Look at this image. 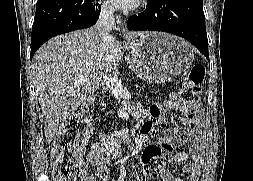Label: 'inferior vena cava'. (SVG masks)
Segmentation results:
<instances>
[{
    "mask_svg": "<svg viewBox=\"0 0 253 181\" xmlns=\"http://www.w3.org/2000/svg\"><path fill=\"white\" fill-rule=\"evenodd\" d=\"M114 6L111 3H103L101 6L100 16L95 25L104 42H109V32L114 28L115 16Z\"/></svg>",
    "mask_w": 253,
    "mask_h": 181,
    "instance_id": "obj_1",
    "label": "inferior vena cava"
}]
</instances>
